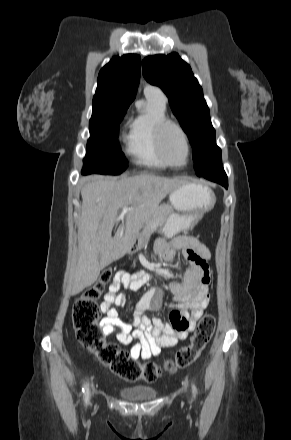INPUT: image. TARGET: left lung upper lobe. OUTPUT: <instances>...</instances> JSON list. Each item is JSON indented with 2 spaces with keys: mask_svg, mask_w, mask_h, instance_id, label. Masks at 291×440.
<instances>
[{
  "mask_svg": "<svg viewBox=\"0 0 291 440\" xmlns=\"http://www.w3.org/2000/svg\"><path fill=\"white\" fill-rule=\"evenodd\" d=\"M143 76L151 85L162 88L193 149L198 176L222 163L221 149L216 145L209 108L203 91L190 66L177 53L146 57Z\"/></svg>",
  "mask_w": 291,
  "mask_h": 440,
  "instance_id": "left-lung-upper-lobe-1",
  "label": "left lung upper lobe"
}]
</instances>
